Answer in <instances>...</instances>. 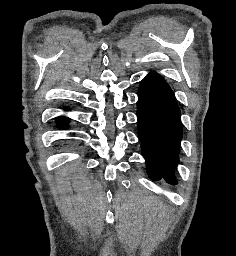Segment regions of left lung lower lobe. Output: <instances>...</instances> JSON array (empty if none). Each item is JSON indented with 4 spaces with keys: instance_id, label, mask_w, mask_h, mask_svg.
I'll return each mask as SVG.
<instances>
[{
    "instance_id": "obj_1",
    "label": "left lung lower lobe",
    "mask_w": 236,
    "mask_h": 256,
    "mask_svg": "<svg viewBox=\"0 0 236 256\" xmlns=\"http://www.w3.org/2000/svg\"><path fill=\"white\" fill-rule=\"evenodd\" d=\"M137 105L138 137L148 175L154 181L164 179L175 185L182 139L175 96L159 74L151 73L141 82Z\"/></svg>"
}]
</instances>
